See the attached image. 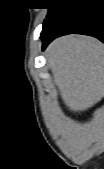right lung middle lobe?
Wrapping results in <instances>:
<instances>
[{
  "label": "right lung middle lobe",
  "instance_id": "1",
  "mask_svg": "<svg viewBox=\"0 0 104 169\" xmlns=\"http://www.w3.org/2000/svg\"><path fill=\"white\" fill-rule=\"evenodd\" d=\"M72 0H58L54 3H50V7L48 8L47 17L43 23V27L50 21V19L62 8V6L70 3Z\"/></svg>",
  "mask_w": 104,
  "mask_h": 169
}]
</instances>
